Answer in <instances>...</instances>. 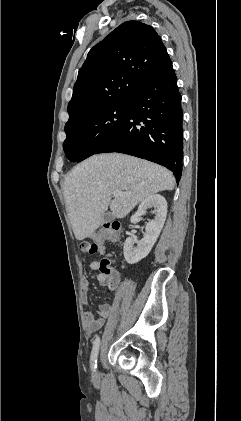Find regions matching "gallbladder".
<instances>
[{"label": "gallbladder", "instance_id": "1", "mask_svg": "<svg viewBox=\"0 0 241 421\" xmlns=\"http://www.w3.org/2000/svg\"><path fill=\"white\" fill-rule=\"evenodd\" d=\"M114 219V215L111 212H107L104 214L102 218V222H110Z\"/></svg>", "mask_w": 241, "mask_h": 421}]
</instances>
